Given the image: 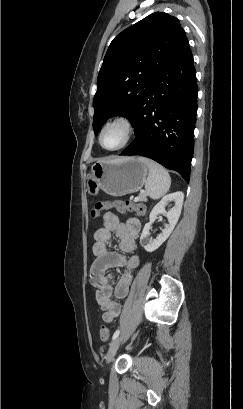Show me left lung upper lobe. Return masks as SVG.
Returning a JSON list of instances; mask_svg holds the SVG:
<instances>
[{
	"mask_svg": "<svg viewBox=\"0 0 243 409\" xmlns=\"http://www.w3.org/2000/svg\"><path fill=\"white\" fill-rule=\"evenodd\" d=\"M177 18L155 12L118 34L104 57L93 99V128L116 115L134 122L151 84L186 40Z\"/></svg>",
	"mask_w": 243,
	"mask_h": 409,
	"instance_id": "1",
	"label": "left lung upper lobe"
}]
</instances>
